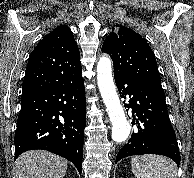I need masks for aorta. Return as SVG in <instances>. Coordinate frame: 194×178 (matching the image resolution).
Wrapping results in <instances>:
<instances>
[{
	"mask_svg": "<svg viewBox=\"0 0 194 178\" xmlns=\"http://www.w3.org/2000/svg\"><path fill=\"white\" fill-rule=\"evenodd\" d=\"M97 83L112 123V140L115 142L125 141L131 131L123 107L116 92L112 77L111 60L107 56L99 59L97 64Z\"/></svg>",
	"mask_w": 194,
	"mask_h": 178,
	"instance_id": "obj_1",
	"label": "aorta"
}]
</instances>
